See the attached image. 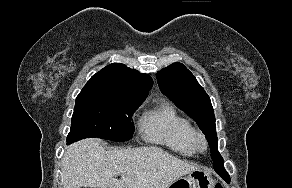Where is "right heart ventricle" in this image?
I'll list each match as a JSON object with an SVG mask.
<instances>
[{
  "label": "right heart ventricle",
  "instance_id": "1",
  "mask_svg": "<svg viewBox=\"0 0 292 188\" xmlns=\"http://www.w3.org/2000/svg\"><path fill=\"white\" fill-rule=\"evenodd\" d=\"M139 126L144 139L164 145L184 156L195 153L193 136L195 130L191 123L176 108L167 102L146 111Z\"/></svg>",
  "mask_w": 292,
  "mask_h": 188
}]
</instances>
